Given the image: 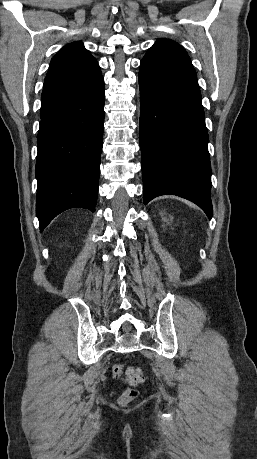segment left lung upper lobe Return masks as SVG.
Masks as SVG:
<instances>
[{
    "mask_svg": "<svg viewBox=\"0 0 257 459\" xmlns=\"http://www.w3.org/2000/svg\"><path fill=\"white\" fill-rule=\"evenodd\" d=\"M150 52L188 55L186 51L178 43L169 39L157 40L156 43L148 50L147 53Z\"/></svg>",
    "mask_w": 257,
    "mask_h": 459,
    "instance_id": "obj_1",
    "label": "left lung upper lobe"
}]
</instances>
